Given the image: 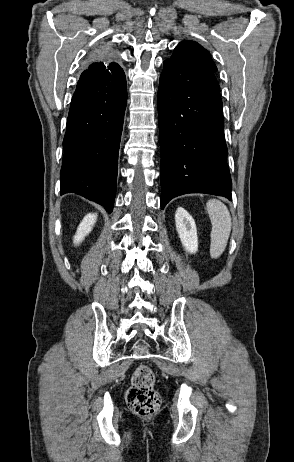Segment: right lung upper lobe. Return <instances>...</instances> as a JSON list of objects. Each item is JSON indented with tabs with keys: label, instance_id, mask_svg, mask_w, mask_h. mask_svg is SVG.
<instances>
[{
	"label": "right lung upper lobe",
	"instance_id": "cb5924a9",
	"mask_svg": "<svg viewBox=\"0 0 294 462\" xmlns=\"http://www.w3.org/2000/svg\"><path fill=\"white\" fill-rule=\"evenodd\" d=\"M123 73L122 68L115 62L111 50L97 53L92 63L81 74L77 86L93 85L102 81H110Z\"/></svg>",
	"mask_w": 294,
	"mask_h": 462
}]
</instances>
